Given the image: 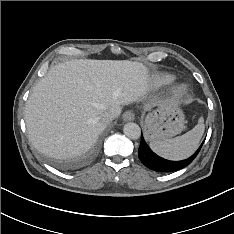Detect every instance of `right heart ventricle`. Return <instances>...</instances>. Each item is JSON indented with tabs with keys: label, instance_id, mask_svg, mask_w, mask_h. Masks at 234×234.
Here are the masks:
<instances>
[{
	"label": "right heart ventricle",
	"instance_id": "e07e8e85",
	"mask_svg": "<svg viewBox=\"0 0 234 234\" xmlns=\"http://www.w3.org/2000/svg\"><path fill=\"white\" fill-rule=\"evenodd\" d=\"M160 80H161V82H168V81L172 80V77L169 75H163V76H161Z\"/></svg>",
	"mask_w": 234,
	"mask_h": 234
}]
</instances>
